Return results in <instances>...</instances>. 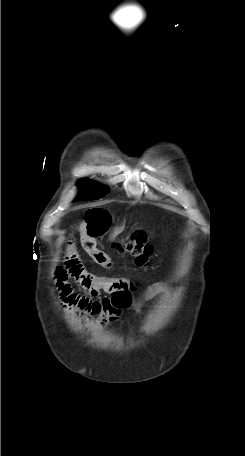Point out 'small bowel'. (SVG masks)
Segmentation results:
<instances>
[{"instance_id":"1","label":"small bowel","mask_w":245,"mask_h":456,"mask_svg":"<svg viewBox=\"0 0 245 456\" xmlns=\"http://www.w3.org/2000/svg\"><path fill=\"white\" fill-rule=\"evenodd\" d=\"M111 225L110 213L102 208L87 211L73 229L80 234V240L86 252L105 269L112 268L110 257L96 246V238L106 234ZM68 276L75 278L88 296L77 294L68 283ZM56 286L60 292L61 303L81 317L99 316V324L115 321L120 313L129 308L138 311L143 302L168 289L164 285L147 288L139 299L134 300L133 283L123 277H101L87 272L77 255L74 241L69 239L64 266L55 274ZM102 296L99 299L96 297Z\"/></svg>"}]
</instances>
